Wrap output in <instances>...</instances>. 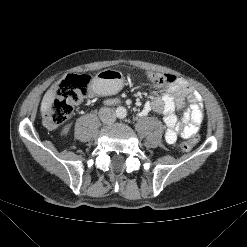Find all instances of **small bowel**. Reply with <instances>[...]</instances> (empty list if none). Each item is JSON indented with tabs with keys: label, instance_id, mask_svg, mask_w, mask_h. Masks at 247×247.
I'll use <instances>...</instances> for the list:
<instances>
[{
	"label": "small bowel",
	"instance_id": "small-bowel-1",
	"mask_svg": "<svg viewBox=\"0 0 247 247\" xmlns=\"http://www.w3.org/2000/svg\"><path fill=\"white\" fill-rule=\"evenodd\" d=\"M186 98L189 105L186 104ZM151 111L162 114L166 125L165 140L170 144L175 143L178 136L183 138L194 136L204 118L200 95L183 79H178L162 96L145 102L142 115ZM177 111H180L181 114L178 115Z\"/></svg>",
	"mask_w": 247,
	"mask_h": 247
}]
</instances>
